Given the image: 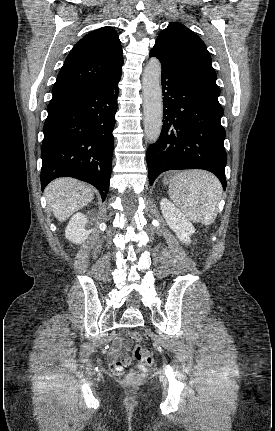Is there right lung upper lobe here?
Masks as SVG:
<instances>
[{
	"instance_id": "1",
	"label": "right lung upper lobe",
	"mask_w": 275,
	"mask_h": 431,
	"mask_svg": "<svg viewBox=\"0 0 275 431\" xmlns=\"http://www.w3.org/2000/svg\"><path fill=\"white\" fill-rule=\"evenodd\" d=\"M122 65L121 42L114 28L107 26L92 31L70 51L52 94L106 85L121 75Z\"/></svg>"
}]
</instances>
